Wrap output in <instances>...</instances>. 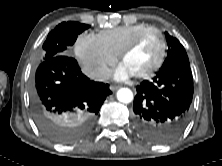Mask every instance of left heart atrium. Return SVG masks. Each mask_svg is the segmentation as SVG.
<instances>
[{"instance_id":"left-heart-atrium-1","label":"left heart atrium","mask_w":222,"mask_h":166,"mask_svg":"<svg viewBox=\"0 0 222 166\" xmlns=\"http://www.w3.org/2000/svg\"><path fill=\"white\" fill-rule=\"evenodd\" d=\"M132 73L123 65H119L114 71V77L117 80H125L130 77Z\"/></svg>"}]
</instances>
